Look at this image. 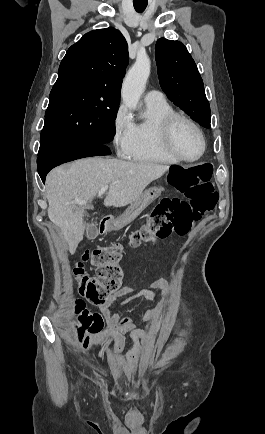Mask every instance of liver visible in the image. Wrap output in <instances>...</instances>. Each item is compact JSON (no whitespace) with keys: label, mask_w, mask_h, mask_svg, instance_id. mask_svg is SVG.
Instances as JSON below:
<instances>
[{"label":"liver","mask_w":265,"mask_h":434,"mask_svg":"<svg viewBox=\"0 0 265 434\" xmlns=\"http://www.w3.org/2000/svg\"><path fill=\"white\" fill-rule=\"evenodd\" d=\"M170 166L147 162H123L105 158H84L71 166L54 168L46 178L47 210L50 222L60 228L70 254L83 240L84 206L68 204L73 200L90 202L102 186H110L104 206H127L135 202L148 184L161 178Z\"/></svg>","instance_id":"obj_1"}]
</instances>
